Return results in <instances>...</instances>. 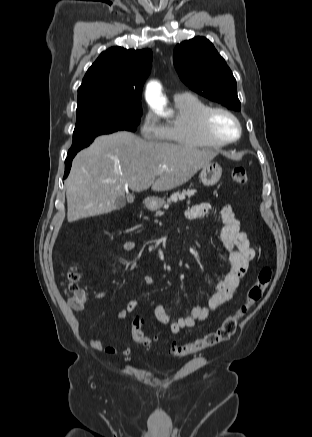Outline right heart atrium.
<instances>
[{
  "mask_svg": "<svg viewBox=\"0 0 312 437\" xmlns=\"http://www.w3.org/2000/svg\"><path fill=\"white\" fill-rule=\"evenodd\" d=\"M141 136L149 141H161L164 139V127L153 112H147L140 124Z\"/></svg>",
  "mask_w": 312,
  "mask_h": 437,
  "instance_id": "d8ad5b80",
  "label": "right heart atrium"
}]
</instances>
